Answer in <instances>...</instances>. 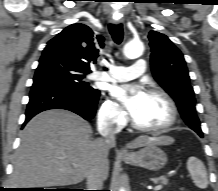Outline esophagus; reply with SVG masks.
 Masks as SVG:
<instances>
[{"mask_svg":"<svg viewBox=\"0 0 218 191\" xmlns=\"http://www.w3.org/2000/svg\"><path fill=\"white\" fill-rule=\"evenodd\" d=\"M112 22L113 23H115V24H121L123 21L121 20V19H112ZM121 155L122 156H128L129 155V153L127 152V151H125V150H123L122 152H121Z\"/></svg>","mask_w":218,"mask_h":191,"instance_id":"1","label":"esophagus"}]
</instances>
